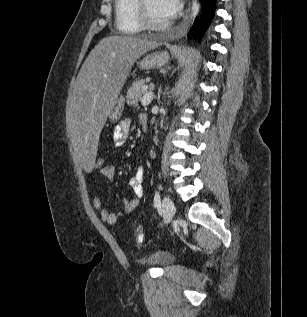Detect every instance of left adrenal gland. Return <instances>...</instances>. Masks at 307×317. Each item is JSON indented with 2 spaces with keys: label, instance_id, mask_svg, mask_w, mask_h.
Returning a JSON list of instances; mask_svg holds the SVG:
<instances>
[{
  "label": "left adrenal gland",
  "instance_id": "obj_1",
  "mask_svg": "<svg viewBox=\"0 0 307 317\" xmlns=\"http://www.w3.org/2000/svg\"><path fill=\"white\" fill-rule=\"evenodd\" d=\"M162 93L161 89L159 90V97H160V94Z\"/></svg>",
  "mask_w": 307,
  "mask_h": 317
}]
</instances>
